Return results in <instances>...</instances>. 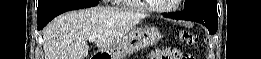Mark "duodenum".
I'll use <instances>...</instances> for the list:
<instances>
[{"mask_svg":"<svg viewBox=\"0 0 261 59\" xmlns=\"http://www.w3.org/2000/svg\"><path fill=\"white\" fill-rule=\"evenodd\" d=\"M103 55H104V53H98V54H96V55L93 57V59H103V58H104Z\"/></svg>","mask_w":261,"mask_h":59,"instance_id":"1","label":"duodenum"}]
</instances>
